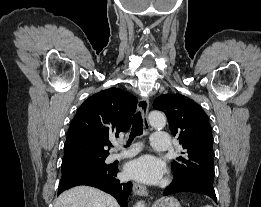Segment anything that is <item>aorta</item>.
<instances>
[{
    "label": "aorta",
    "mask_w": 261,
    "mask_h": 207,
    "mask_svg": "<svg viewBox=\"0 0 261 207\" xmlns=\"http://www.w3.org/2000/svg\"><path fill=\"white\" fill-rule=\"evenodd\" d=\"M149 123L155 128H163L166 125V117L160 111H152L149 114ZM135 207H145V203L140 201Z\"/></svg>",
    "instance_id": "762f6f07"
}]
</instances>
